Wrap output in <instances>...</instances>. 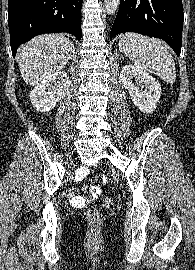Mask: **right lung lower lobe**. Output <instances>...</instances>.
I'll return each mask as SVG.
<instances>
[{
  "mask_svg": "<svg viewBox=\"0 0 195 270\" xmlns=\"http://www.w3.org/2000/svg\"><path fill=\"white\" fill-rule=\"evenodd\" d=\"M83 0H9L8 25L13 57L18 47L45 33L67 32L82 37Z\"/></svg>",
  "mask_w": 195,
  "mask_h": 270,
  "instance_id": "98d812e1",
  "label": "right lung lower lobe"
}]
</instances>
